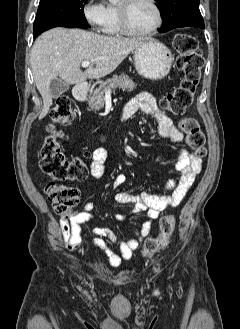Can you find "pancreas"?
<instances>
[{"label":"pancreas","mask_w":240,"mask_h":329,"mask_svg":"<svg viewBox=\"0 0 240 329\" xmlns=\"http://www.w3.org/2000/svg\"><path fill=\"white\" fill-rule=\"evenodd\" d=\"M116 88L133 91L136 84L127 75H114L111 79L102 82L98 88L90 93L88 98L89 106L95 111L100 110L105 103V93L107 90L114 91Z\"/></svg>","instance_id":"obj_1"}]
</instances>
